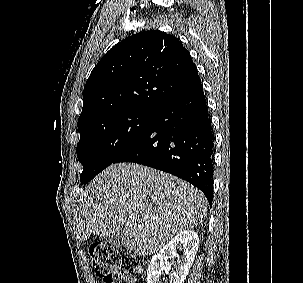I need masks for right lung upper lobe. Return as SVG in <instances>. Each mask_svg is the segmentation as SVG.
I'll return each mask as SVG.
<instances>
[{
  "instance_id": "obj_1",
  "label": "right lung upper lobe",
  "mask_w": 303,
  "mask_h": 283,
  "mask_svg": "<svg viewBox=\"0 0 303 283\" xmlns=\"http://www.w3.org/2000/svg\"><path fill=\"white\" fill-rule=\"evenodd\" d=\"M200 82L190 53L173 35L149 30L110 49L92 70L78 119L82 131L108 117L154 112Z\"/></svg>"
}]
</instances>
